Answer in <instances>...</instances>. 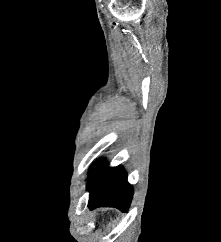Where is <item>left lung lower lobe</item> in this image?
I'll return each instance as SVG.
<instances>
[{
  "label": "left lung lower lobe",
  "instance_id": "1",
  "mask_svg": "<svg viewBox=\"0 0 221 242\" xmlns=\"http://www.w3.org/2000/svg\"><path fill=\"white\" fill-rule=\"evenodd\" d=\"M87 188L90 209L108 206L127 211L133 195L124 169L121 166L108 167L103 160L96 161L90 168Z\"/></svg>",
  "mask_w": 221,
  "mask_h": 242
}]
</instances>
